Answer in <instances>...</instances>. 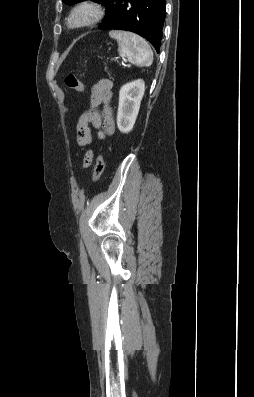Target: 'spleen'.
Instances as JSON below:
<instances>
[{
  "label": "spleen",
  "instance_id": "3e777b00",
  "mask_svg": "<svg viewBox=\"0 0 254 397\" xmlns=\"http://www.w3.org/2000/svg\"><path fill=\"white\" fill-rule=\"evenodd\" d=\"M109 36L118 43V52L121 57L138 67H146L153 62V51L141 36L127 31L112 30Z\"/></svg>",
  "mask_w": 254,
  "mask_h": 397
}]
</instances>
